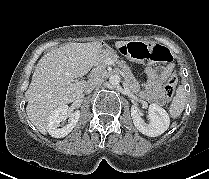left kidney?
Returning a JSON list of instances; mask_svg holds the SVG:
<instances>
[{
    "mask_svg": "<svg viewBox=\"0 0 209 179\" xmlns=\"http://www.w3.org/2000/svg\"><path fill=\"white\" fill-rule=\"evenodd\" d=\"M131 116L135 127L144 135L156 137L164 133L169 127V115L159 105L150 104L148 109V120L146 123L142 118L137 104L131 107Z\"/></svg>",
    "mask_w": 209,
    "mask_h": 179,
    "instance_id": "1",
    "label": "left kidney"
}]
</instances>
